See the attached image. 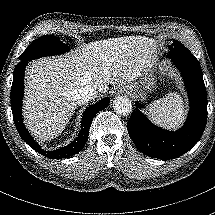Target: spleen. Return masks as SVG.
I'll return each mask as SVG.
<instances>
[{
	"instance_id": "obj_1",
	"label": "spleen",
	"mask_w": 215,
	"mask_h": 215,
	"mask_svg": "<svg viewBox=\"0 0 215 215\" xmlns=\"http://www.w3.org/2000/svg\"><path fill=\"white\" fill-rule=\"evenodd\" d=\"M153 118L165 127L179 126L185 116V106L178 94L168 93L151 104Z\"/></svg>"
}]
</instances>
